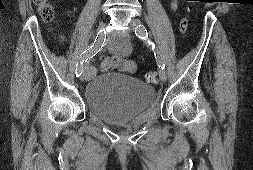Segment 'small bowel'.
Masks as SVG:
<instances>
[{"instance_id": "obj_1", "label": "small bowel", "mask_w": 253, "mask_h": 170, "mask_svg": "<svg viewBox=\"0 0 253 170\" xmlns=\"http://www.w3.org/2000/svg\"><path fill=\"white\" fill-rule=\"evenodd\" d=\"M171 9L176 10L178 7V0H172L170 3ZM120 48L124 51L129 49V44L126 41H122L119 43ZM103 69H110V68H118L125 72H132L131 67H136L135 63L132 60L127 59L124 56H117L111 60L106 61L102 65ZM94 70V69H93Z\"/></svg>"}]
</instances>
